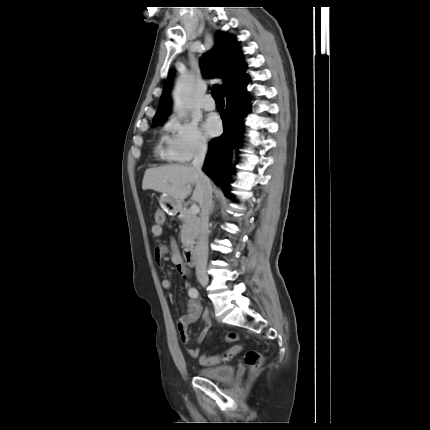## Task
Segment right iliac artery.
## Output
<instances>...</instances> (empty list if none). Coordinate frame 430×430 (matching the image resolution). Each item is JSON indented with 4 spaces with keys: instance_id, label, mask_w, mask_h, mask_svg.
<instances>
[{
    "instance_id": "obj_1",
    "label": "right iliac artery",
    "mask_w": 430,
    "mask_h": 430,
    "mask_svg": "<svg viewBox=\"0 0 430 430\" xmlns=\"http://www.w3.org/2000/svg\"><path fill=\"white\" fill-rule=\"evenodd\" d=\"M188 295L191 298H198L199 297V291L196 288H190L188 291Z\"/></svg>"
}]
</instances>
